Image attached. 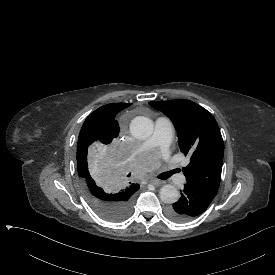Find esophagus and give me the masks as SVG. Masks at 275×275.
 I'll list each match as a JSON object with an SVG mask.
<instances>
[{"mask_svg":"<svg viewBox=\"0 0 275 275\" xmlns=\"http://www.w3.org/2000/svg\"><path fill=\"white\" fill-rule=\"evenodd\" d=\"M150 184L154 185V186H160L162 185V181L158 180V179H151L149 181Z\"/></svg>","mask_w":275,"mask_h":275,"instance_id":"34e87169","label":"esophagus"}]
</instances>
